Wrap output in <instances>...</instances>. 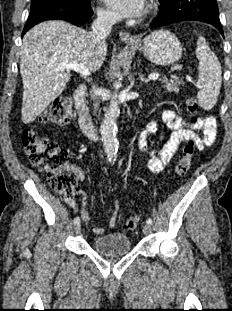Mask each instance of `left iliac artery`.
<instances>
[{
  "label": "left iliac artery",
  "mask_w": 232,
  "mask_h": 311,
  "mask_svg": "<svg viewBox=\"0 0 232 311\" xmlns=\"http://www.w3.org/2000/svg\"><path fill=\"white\" fill-rule=\"evenodd\" d=\"M146 222H147V224L152 225V219L151 218H148Z\"/></svg>",
  "instance_id": "obj_1"
}]
</instances>
